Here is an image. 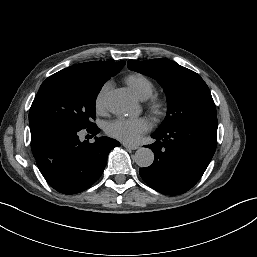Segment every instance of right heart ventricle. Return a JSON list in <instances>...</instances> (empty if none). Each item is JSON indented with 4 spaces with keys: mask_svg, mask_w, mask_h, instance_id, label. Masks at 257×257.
I'll return each instance as SVG.
<instances>
[{
    "mask_svg": "<svg viewBox=\"0 0 257 257\" xmlns=\"http://www.w3.org/2000/svg\"><path fill=\"white\" fill-rule=\"evenodd\" d=\"M126 83L135 96L141 100H146L154 92L153 83L144 75L133 74L126 78Z\"/></svg>",
    "mask_w": 257,
    "mask_h": 257,
    "instance_id": "e07e8e85",
    "label": "right heart ventricle"
}]
</instances>
